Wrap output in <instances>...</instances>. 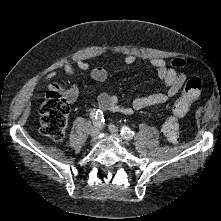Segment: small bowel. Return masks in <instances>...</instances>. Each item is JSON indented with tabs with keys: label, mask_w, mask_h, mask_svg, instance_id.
<instances>
[{
	"label": "small bowel",
	"mask_w": 221,
	"mask_h": 221,
	"mask_svg": "<svg viewBox=\"0 0 221 221\" xmlns=\"http://www.w3.org/2000/svg\"><path fill=\"white\" fill-rule=\"evenodd\" d=\"M135 61L136 56L133 54L126 55L124 59V62L127 65L133 64ZM76 65L81 70H90L92 79L98 83H103L107 80V71L102 67L91 68L90 64L84 60H78ZM150 65L156 70L158 78L166 86V91L147 96H138L133 99L130 106L121 104L117 96L103 92L100 93L97 98L99 109L102 111L120 112L125 115H131L137 110L161 106L171 98L175 97L185 84L187 76L184 73L169 67L166 62L160 58H152L150 60ZM63 71L68 75H72L75 72V68L71 64H65ZM56 75L57 73L55 71L50 72L46 76L45 81L53 79ZM75 93L76 88L74 87L71 92V99L74 97Z\"/></svg>",
	"instance_id": "small-bowel-1"
}]
</instances>
